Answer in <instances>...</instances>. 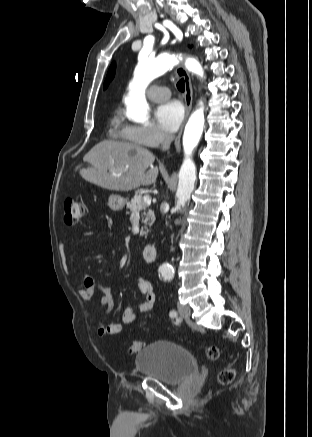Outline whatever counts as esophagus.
Masks as SVG:
<instances>
[{"label":"esophagus","mask_w":312,"mask_h":437,"mask_svg":"<svg viewBox=\"0 0 312 437\" xmlns=\"http://www.w3.org/2000/svg\"><path fill=\"white\" fill-rule=\"evenodd\" d=\"M177 74L184 79V86H185V92H184V100H185V117L182 122V125L180 127V131L175 139V150L176 152H179L181 150V135L184 129V125L188 119V116L192 109V102H193V88L190 76L188 72L185 70L183 66H180L177 69Z\"/></svg>","instance_id":"esophagus-1"}]
</instances>
